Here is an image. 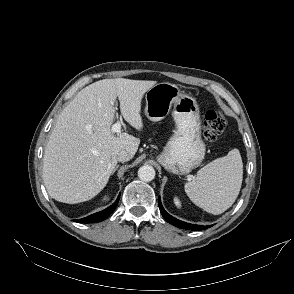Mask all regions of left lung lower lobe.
<instances>
[{
    "instance_id": "left-lung-lower-lobe-1",
    "label": "left lung lower lobe",
    "mask_w": 294,
    "mask_h": 294,
    "mask_svg": "<svg viewBox=\"0 0 294 294\" xmlns=\"http://www.w3.org/2000/svg\"><path fill=\"white\" fill-rule=\"evenodd\" d=\"M158 204H159L160 212L162 213V216L165 218V220L178 228L199 231V230H204V229H207L208 227H211V225L210 226H202V225H194V224L182 222V221L172 217L164 210V208L161 204L160 198L158 199Z\"/></svg>"
}]
</instances>
